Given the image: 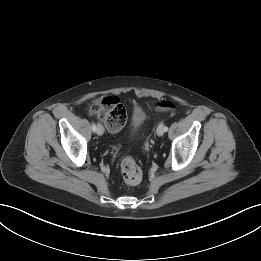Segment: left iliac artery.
<instances>
[{
  "instance_id": "obj_1",
  "label": "left iliac artery",
  "mask_w": 261,
  "mask_h": 261,
  "mask_svg": "<svg viewBox=\"0 0 261 261\" xmlns=\"http://www.w3.org/2000/svg\"><path fill=\"white\" fill-rule=\"evenodd\" d=\"M164 130H165V132H166V131H168V127H167V126H165Z\"/></svg>"
}]
</instances>
